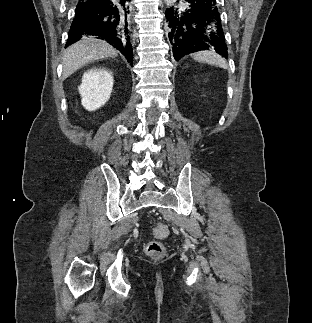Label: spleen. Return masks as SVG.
<instances>
[{
    "label": "spleen",
    "mask_w": 312,
    "mask_h": 323,
    "mask_svg": "<svg viewBox=\"0 0 312 323\" xmlns=\"http://www.w3.org/2000/svg\"><path fill=\"white\" fill-rule=\"evenodd\" d=\"M194 60L197 62H206V64H212V66H219V68H227L226 60L218 56V54H214V52H197V54H193Z\"/></svg>",
    "instance_id": "spleen-1"
}]
</instances>
